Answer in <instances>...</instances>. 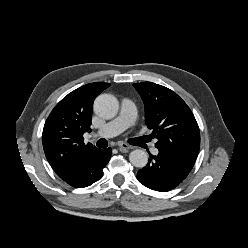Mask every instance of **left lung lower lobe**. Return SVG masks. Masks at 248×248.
<instances>
[{
    "label": "left lung lower lobe",
    "mask_w": 248,
    "mask_h": 248,
    "mask_svg": "<svg viewBox=\"0 0 248 248\" xmlns=\"http://www.w3.org/2000/svg\"><path fill=\"white\" fill-rule=\"evenodd\" d=\"M194 163L190 158L159 150L157 156L150 155L148 164L138 171L137 179L152 190L167 192L188 176Z\"/></svg>",
    "instance_id": "obj_1"
}]
</instances>
